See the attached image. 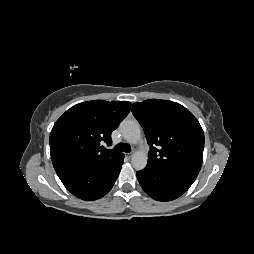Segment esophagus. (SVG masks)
Wrapping results in <instances>:
<instances>
[{
    "label": "esophagus",
    "instance_id": "1",
    "mask_svg": "<svg viewBox=\"0 0 254 254\" xmlns=\"http://www.w3.org/2000/svg\"><path fill=\"white\" fill-rule=\"evenodd\" d=\"M132 156H133V153H132V152H130V153H126V157H127V158H129V159H130Z\"/></svg>",
    "mask_w": 254,
    "mask_h": 254
}]
</instances>
